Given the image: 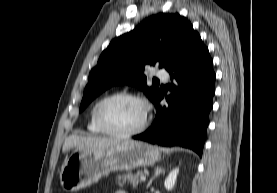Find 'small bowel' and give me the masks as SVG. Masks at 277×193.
<instances>
[{
	"instance_id": "obj_1",
	"label": "small bowel",
	"mask_w": 277,
	"mask_h": 193,
	"mask_svg": "<svg viewBox=\"0 0 277 193\" xmlns=\"http://www.w3.org/2000/svg\"><path fill=\"white\" fill-rule=\"evenodd\" d=\"M115 193H127V192L124 191V190H118V191H116Z\"/></svg>"
}]
</instances>
